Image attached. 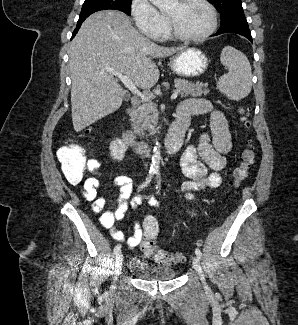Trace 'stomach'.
I'll list each match as a JSON object with an SVG mask.
<instances>
[{
    "mask_svg": "<svg viewBox=\"0 0 298 325\" xmlns=\"http://www.w3.org/2000/svg\"><path fill=\"white\" fill-rule=\"evenodd\" d=\"M209 62L210 60L202 48L187 46L185 50H180V52H176L174 56H171L168 64L176 76L191 78V76L204 74Z\"/></svg>",
    "mask_w": 298,
    "mask_h": 325,
    "instance_id": "1",
    "label": "stomach"
}]
</instances>
